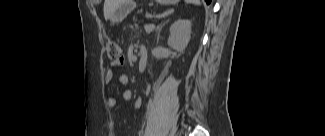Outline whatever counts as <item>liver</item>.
Segmentation results:
<instances>
[{
  "label": "liver",
  "instance_id": "1",
  "mask_svg": "<svg viewBox=\"0 0 325 136\" xmlns=\"http://www.w3.org/2000/svg\"><path fill=\"white\" fill-rule=\"evenodd\" d=\"M120 3H121V0H105L104 1L103 11H104L105 20L110 19L111 15L118 8Z\"/></svg>",
  "mask_w": 325,
  "mask_h": 136
}]
</instances>
